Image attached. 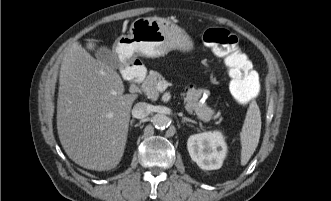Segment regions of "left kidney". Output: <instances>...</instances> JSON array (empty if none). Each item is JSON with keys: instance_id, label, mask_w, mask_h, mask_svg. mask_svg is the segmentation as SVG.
I'll list each match as a JSON object with an SVG mask.
<instances>
[{"instance_id": "1", "label": "left kidney", "mask_w": 331, "mask_h": 201, "mask_svg": "<svg viewBox=\"0 0 331 201\" xmlns=\"http://www.w3.org/2000/svg\"><path fill=\"white\" fill-rule=\"evenodd\" d=\"M187 149L191 159L203 170L219 169L227 153L224 136L219 131L190 136Z\"/></svg>"}]
</instances>
